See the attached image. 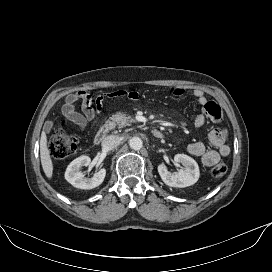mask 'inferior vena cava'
<instances>
[{"mask_svg":"<svg viewBox=\"0 0 272 272\" xmlns=\"http://www.w3.org/2000/svg\"><path fill=\"white\" fill-rule=\"evenodd\" d=\"M121 142V138L117 135H109L107 136L103 142L102 147L106 150H112L116 148Z\"/></svg>","mask_w":272,"mask_h":272,"instance_id":"obj_1","label":"inferior vena cava"}]
</instances>
